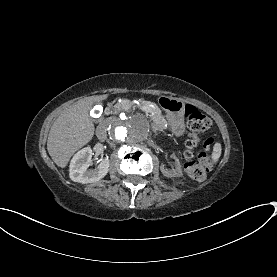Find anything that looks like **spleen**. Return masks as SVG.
<instances>
[{"instance_id":"obj_1","label":"spleen","mask_w":277,"mask_h":277,"mask_svg":"<svg viewBox=\"0 0 277 277\" xmlns=\"http://www.w3.org/2000/svg\"><path fill=\"white\" fill-rule=\"evenodd\" d=\"M221 154H222L221 143L219 142L214 143L212 148V153L210 156L212 166H215L219 162Z\"/></svg>"}]
</instances>
